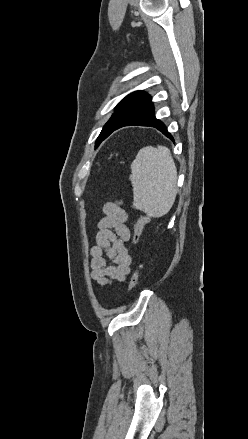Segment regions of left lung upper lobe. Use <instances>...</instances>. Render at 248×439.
<instances>
[{
    "instance_id": "left-lung-upper-lobe-1",
    "label": "left lung upper lobe",
    "mask_w": 248,
    "mask_h": 439,
    "mask_svg": "<svg viewBox=\"0 0 248 439\" xmlns=\"http://www.w3.org/2000/svg\"><path fill=\"white\" fill-rule=\"evenodd\" d=\"M147 94L143 91H136L126 96L118 105L115 113L104 125L100 135L96 140V147L107 137L109 132L125 118L145 97Z\"/></svg>"
}]
</instances>
